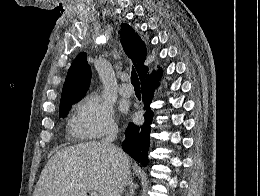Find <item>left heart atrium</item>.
Here are the masks:
<instances>
[{
	"label": "left heart atrium",
	"mask_w": 260,
	"mask_h": 196,
	"mask_svg": "<svg viewBox=\"0 0 260 196\" xmlns=\"http://www.w3.org/2000/svg\"><path fill=\"white\" fill-rule=\"evenodd\" d=\"M123 190H106V192H122Z\"/></svg>",
	"instance_id": "39dd6f15"
}]
</instances>
